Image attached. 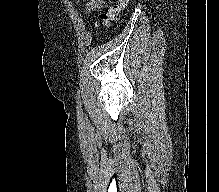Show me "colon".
I'll use <instances>...</instances> for the list:
<instances>
[{"instance_id": "5ec220e1", "label": "colon", "mask_w": 219, "mask_h": 192, "mask_svg": "<svg viewBox=\"0 0 219 192\" xmlns=\"http://www.w3.org/2000/svg\"><path fill=\"white\" fill-rule=\"evenodd\" d=\"M132 0H118L117 4L107 13H102L96 21L97 27H108L111 22L121 19L122 11Z\"/></svg>"}]
</instances>
